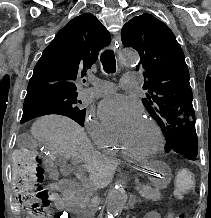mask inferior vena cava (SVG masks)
<instances>
[{"mask_svg": "<svg viewBox=\"0 0 211 218\" xmlns=\"http://www.w3.org/2000/svg\"><path fill=\"white\" fill-rule=\"evenodd\" d=\"M93 186H94L93 190H98V188H102L101 184H98V182H93ZM95 198L96 196H94V198H92L91 200V204H90L91 208L92 206H95Z\"/></svg>", "mask_w": 211, "mask_h": 218, "instance_id": "inferior-vena-cava-1", "label": "inferior vena cava"}]
</instances>
